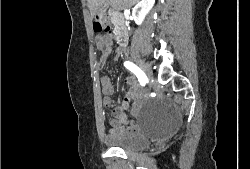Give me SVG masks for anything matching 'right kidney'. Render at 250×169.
I'll return each mask as SVG.
<instances>
[{
    "instance_id": "obj_1",
    "label": "right kidney",
    "mask_w": 250,
    "mask_h": 169,
    "mask_svg": "<svg viewBox=\"0 0 250 169\" xmlns=\"http://www.w3.org/2000/svg\"><path fill=\"white\" fill-rule=\"evenodd\" d=\"M155 0H140L132 10V16L136 24H142L146 14L151 10Z\"/></svg>"
}]
</instances>
